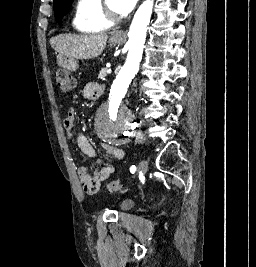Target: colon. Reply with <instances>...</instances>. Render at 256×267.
Returning a JSON list of instances; mask_svg holds the SVG:
<instances>
[{
	"instance_id": "5ec220e1",
	"label": "colon",
	"mask_w": 256,
	"mask_h": 267,
	"mask_svg": "<svg viewBox=\"0 0 256 267\" xmlns=\"http://www.w3.org/2000/svg\"><path fill=\"white\" fill-rule=\"evenodd\" d=\"M56 82L59 88L64 91L71 90L76 85V80L73 75L71 73H65V71H56ZM124 189L125 186L118 181H112L106 186L108 192H119Z\"/></svg>"
}]
</instances>
